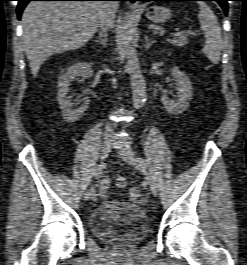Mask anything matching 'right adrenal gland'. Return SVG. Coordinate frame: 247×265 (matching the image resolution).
<instances>
[{"instance_id": "obj_1", "label": "right adrenal gland", "mask_w": 247, "mask_h": 265, "mask_svg": "<svg viewBox=\"0 0 247 265\" xmlns=\"http://www.w3.org/2000/svg\"><path fill=\"white\" fill-rule=\"evenodd\" d=\"M96 42L100 43L103 47H106L107 45V37L105 34L100 33V38L96 40Z\"/></svg>"}]
</instances>
